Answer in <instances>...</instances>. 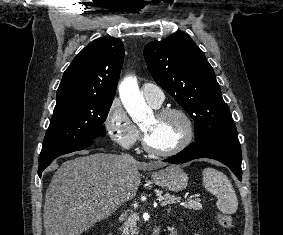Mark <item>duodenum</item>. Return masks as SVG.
Wrapping results in <instances>:
<instances>
[{
  "mask_svg": "<svg viewBox=\"0 0 283 235\" xmlns=\"http://www.w3.org/2000/svg\"><path fill=\"white\" fill-rule=\"evenodd\" d=\"M154 235H158V232H157V231H155V232H154Z\"/></svg>",
  "mask_w": 283,
  "mask_h": 235,
  "instance_id": "410a0bca",
  "label": "duodenum"
}]
</instances>
